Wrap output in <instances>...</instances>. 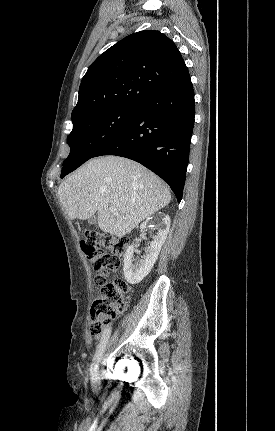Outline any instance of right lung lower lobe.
I'll use <instances>...</instances> for the list:
<instances>
[{
	"mask_svg": "<svg viewBox=\"0 0 275 431\" xmlns=\"http://www.w3.org/2000/svg\"><path fill=\"white\" fill-rule=\"evenodd\" d=\"M189 73L138 106L130 124L93 157L117 155L137 161L168 183L181 201L195 117Z\"/></svg>",
	"mask_w": 275,
	"mask_h": 431,
	"instance_id": "98d812e1",
	"label": "right lung lower lobe"
}]
</instances>
